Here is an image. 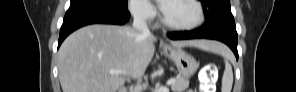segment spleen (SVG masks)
<instances>
[{
    "mask_svg": "<svg viewBox=\"0 0 296 92\" xmlns=\"http://www.w3.org/2000/svg\"><path fill=\"white\" fill-rule=\"evenodd\" d=\"M214 51L220 53L225 60V70L222 77L221 92H231L233 85V71L232 66L229 63V60L231 59V53L224 45L216 42Z\"/></svg>",
    "mask_w": 296,
    "mask_h": 92,
    "instance_id": "1",
    "label": "spleen"
}]
</instances>
